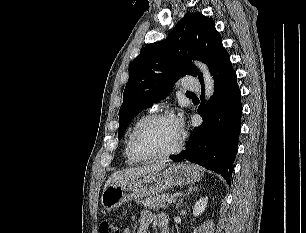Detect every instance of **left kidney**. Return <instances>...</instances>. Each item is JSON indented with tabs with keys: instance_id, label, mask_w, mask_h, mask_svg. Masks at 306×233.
<instances>
[{
	"instance_id": "obj_1",
	"label": "left kidney",
	"mask_w": 306,
	"mask_h": 233,
	"mask_svg": "<svg viewBox=\"0 0 306 233\" xmlns=\"http://www.w3.org/2000/svg\"><path fill=\"white\" fill-rule=\"evenodd\" d=\"M207 202H208V198L207 197L200 198L196 202V204L193 207V215L195 217L200 216L204 212L205 208L207 207Z\"/></svg>"
}]
</instances>
